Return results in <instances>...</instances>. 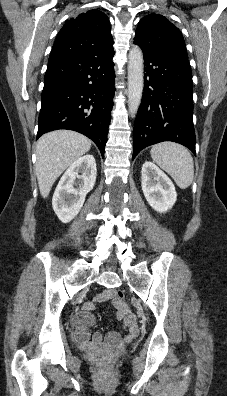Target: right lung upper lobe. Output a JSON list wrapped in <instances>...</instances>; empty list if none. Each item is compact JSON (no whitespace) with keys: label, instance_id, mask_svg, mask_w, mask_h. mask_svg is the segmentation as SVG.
Listing matches in <instances>:
<instances>
[{"label":"right lung upper lobe","instance_id":"1","mask_svg":"<svg viewBox=\"0 0 227 396\" xmlns=\"http://www.w3.org/2000/svg\"><path fill=\"white\" fill-rule=\"evenodd\" d=\"M113 45L108 17L91 10L66 20L53 45L48 63L75 58Z\"/></svg>","mask_w":227,"mask_h":396}]
</instances>
